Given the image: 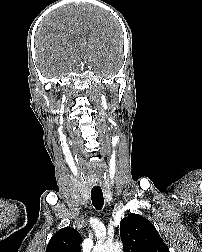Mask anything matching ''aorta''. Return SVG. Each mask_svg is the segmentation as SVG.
Masks as SVG:
<instances>
[{
	"label": "aorta",
	"instance_id": "762f6f07",
	"mask_svg": "<svg viewBox=\"0 0 202 252\" xmlns=\"http://www.w3.org/2000/svg\"><path fill=\"white\" fill-rule=\"evenodd\" d=\"M93 252H122V245L118 242L97 244Z\"/></svg>",
	"mask_w": 202,
	"mask_h": 252
}]
</instances>
